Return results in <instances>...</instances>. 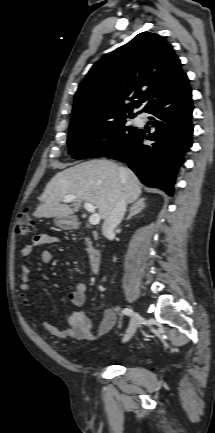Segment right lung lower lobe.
<instances>
[{"instance_id": "98d812e1", "label": "right lung lower lobe", "mask_w": 215, "mask_h": 433, "mask_svg": "<svg viewBox=\"0 0 215 433\" xmlns=\"http://www.w3.org/2000/svg\"><path fill=\"white\" fill-rule=\"evenodd\" d=\"M192 94L186 82L173 92L153 102L144 112L149 117L154 133L138 132L121 148L107 155L124 161L148 187L173 194V185L183 156L192 145ZM151 140L146 145L144 140Z\"/></svg>"}]
</instances>
